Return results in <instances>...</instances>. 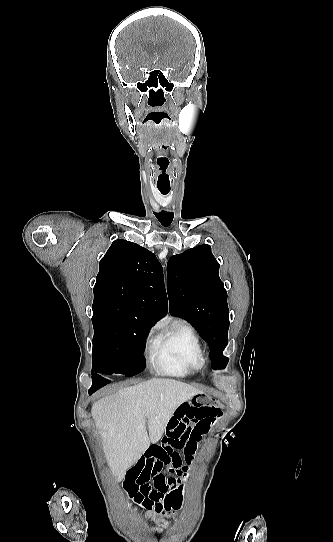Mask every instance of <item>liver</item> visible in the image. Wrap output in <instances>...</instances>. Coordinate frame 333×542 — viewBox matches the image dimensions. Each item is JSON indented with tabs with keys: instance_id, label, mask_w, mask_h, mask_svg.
I'll return each instance as SVG.
<instances>
[{
	"instance_id": "obj_1",
	"label": "liver",
	"mask_w": 333,
	"mask_h": 542,
	"mask_svg": "<svg viewBox=\"0 0 333 542\" xmlns=\"http://www.w3.org/2000/svg\"><path fill=\"white\" fill-rule=\"evenodd\" d=\"M198 394L204 392L184 382L152 378L94 402L92 418L116 482H122L126 470L140 460L150 444L161 440L178 406Z\"/></svg>"
}]
</instances>
